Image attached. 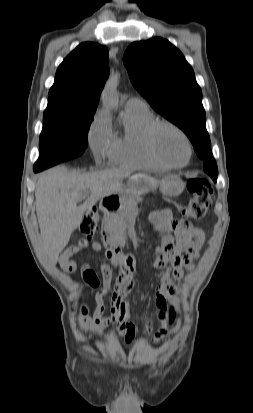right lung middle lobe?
<instances>
[{
	"mask_svg": "<svg viewBox=\"0 0 253 413\" xmlns=\"http://www.w3.org/2000/svg\"><path fill=\"white\" fill-rule=\"evenodd\" d=\"M93 116L94 114L44 116L40 156L33 169L44 170L83 154L88 146L87 136Z\"/></svg>",
	"mask_w": 253,
	"mask_h": 413,
	"instance_id": "1",
	"label": "right lung middle lobe"
}]
</instances>
